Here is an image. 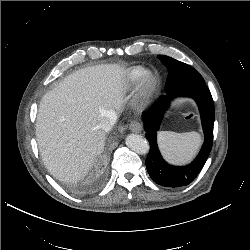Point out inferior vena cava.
<instances>
[{
    "label": "inferior vena cava",
    "instance_id": "obj_1",
    "mask_svg": "<svg viewBox=\"0 0 250 250\" xmlns=\"http://www.w3.org/2000/svg\"><path fill=\"white\" fill-rule=\"evenodd\" d=\"M117 120V114L115 112H111L106 118H104L99 124V128L104 132H108L112 129Z\"/></svg>",
    "mask_w": 250,
    "mask_h": 250
}]
</instances>
